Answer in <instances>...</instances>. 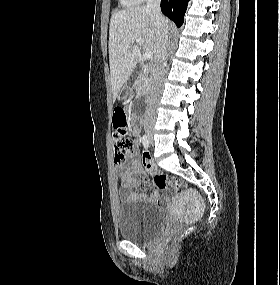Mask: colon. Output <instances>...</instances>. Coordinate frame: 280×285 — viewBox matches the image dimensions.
Masks as SVG:
<instances>
[{
  "label": "colon",
  "instance_id": "1",
  "mask_svg": "<svg viewBox=\"0 0 280 285\" xmlns=\"http://www.w3.org/2000/svg\"><path fill=\"white\" fill-rule=\"evenodd\" d=\"M113 125H114V150L116 163H123L126 156L132 153L135 149V143L126 131L127 117L124 109L117 108L113 113ZM149 158L147 153H144L142 160ZM154 182L160 188H171L173 190H180L183 186L181 180L177 178L168 177L162 173H156L154 176ZM193 229L188 227L181 234V238L191 234ZM175 238L174 240H176Z\"/></svg>",
  "mask_w": 280,
  "mask_h": 285
}]
</instances>
